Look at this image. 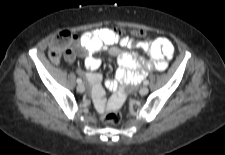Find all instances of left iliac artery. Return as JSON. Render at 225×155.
<instances>
[{
  "mask_svg": "<svg viewBox=\"0 0 225 155\" xmlns=\"http://www.w3.org/2000/svg\"><path fill=\"white\" fill-rule=\"evenodd\" d=\"M143 84H144V85H148V84H149V81H148V80H145V81L143 82Z\"/></svg>",
  "mask_w": 225,
  "mask_h": 155,
  "instance_id": "44dca946",
  "label": "left iliac artery"
}]
</instances>
